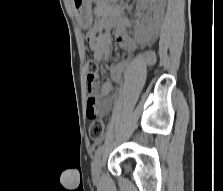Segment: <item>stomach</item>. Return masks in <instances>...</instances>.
<instances>
[{
	"label": "stomach",
	"mask_w": 223,
	"mask_h": 191,
	"mask_svg": "<svg viewBox=\"0 0 223 191\" xmlns=\"http://www.w3.org/2000/svg\"><path fill=\"white\" fill-rule=\"evenodd\" d=\"M93 0H72L75 15L83 28L91 25V3Z\"/></svg>",
	"instance_id": "obj_1"
}]
</instances>
